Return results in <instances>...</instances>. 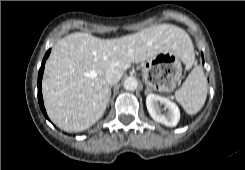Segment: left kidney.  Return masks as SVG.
Segmentation results:
<instances>
[{"label":"left kidney","instance_id":"left-kidney-1","mask_svg":"<svg viewBox=\"0 0 245 170\" xmlns=\"http://www.w3.org/2000/svg\"><path fill=\"white\" fill-rule=\"evenodd\" d=\"M159 103L168 109L166 115L161 113ZM146 106L150 116L156 122L162 123L169 127H174L178 124L180 119V110L178 106L169 99L150 93L146 97Z\"/></svg>","mask_w":245,"mask_h":170}]
</instances>
